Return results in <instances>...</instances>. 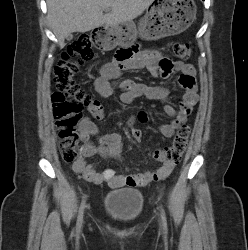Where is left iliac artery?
Wrapping results in <instances>:
<instances>
[{"label":"left iliac artery","instance_id":"obj_1","mask_svg":"<svg viewBox=\"0 0 248 250\" xmlns=\"http://www.w3.org/2000/svg\"><path fill=\"white\" fill-rule=\"evenodd\" d=\"M161 219H162L163 230L165 233H167V231H168L167 219H166L165 211L162 207H161Z\"/></svg>","mask_w":248,"mask_h":250}]
</instances>
